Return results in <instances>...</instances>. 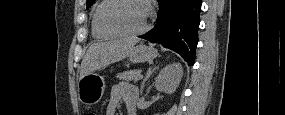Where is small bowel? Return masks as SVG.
<instances>
[{
    "mask_svg": "<svg viewBox=\"0 0 285 115\" xmlns=\"http://www.w3.org/2000/svg\"><path fill=\"white\" fill-rule=\"evenodd\" d=\"M136 90L129 84L120 82L112 87L109 101L106 107V115H115L120 103H124L128 115H135Z\"/></svg>",
    "mask_w": 285,
    "mask_h": 115,
    "instance_id": "obj_1",
    "label": "small bowel"
}]
</instances>
